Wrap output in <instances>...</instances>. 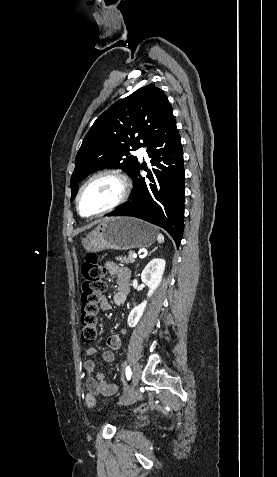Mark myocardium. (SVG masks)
Here are the masks:
<instances>
[{
	"instance_id": "obj_1",
	"label": "myocardium",
	"mask_w": 277,
	"mask_h": 477,
	"mask_svg": "<svg viewBox=\"0 0 277 477\" xmlns=\"http://www.w3.org/2000/svg\"><path fill=\"white\" fill-rule=\"evenodd\" d=\"M101 177H112V178L116 179L120 183V187H121L120 195L114 203H112L110 206L106 207L105 209H103L99 212L93 213V214H84V213H82L81 208H80L81 196H82L84 190L86 189V187L91 182H93L94 180H96L98 178H101ZM129 194H130V184H129V181H128L127 177L123 173H121L117 170H102V171H99V172L93 174L92 176H90L80 186V188L78 190V193H77V196H76V199H75L76 209H77V212L82 217L92 218V217L103 216L107 213H110V212L116 210L120 206H122L127 201L128 197H129Z\"/></svg>"
}]
</instances>
